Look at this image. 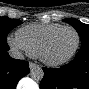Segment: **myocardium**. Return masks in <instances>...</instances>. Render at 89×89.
<instances>
[{"label":"myocardium","mask_w":89,"mask_h":89,"mask_svg":"<svg viewBox=\"0 0 89 89\" xmlns=\"http://www.w3.org/2000/svg\"><path fill=\"white\" fill-rule=\"evenodd\" d=\"M66 29L72 30L76 35V43H75L73 50L70 52L69 55H67L66 57H64L62 59H58V60L49 59L46 56V50H47L49 44L60 32H62L63 30H66ZM80 40H81L80 34L77 31V29H75L73 26H70V25L62 26L59 29H57L56 31H54L53 33H51L49 36H47V38L45 39V41L43 42V44L40 47L38 57L40 58V60L43 63H45L46 65H49V66H60V65L66 64L77 53L79 46H80Z\"/></svg>","instance_id":"f54148a6"}]
</instances>
